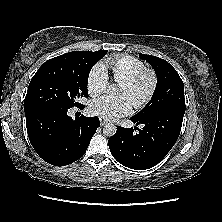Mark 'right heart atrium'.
Listing matches in <instances>:
<instances>
[{"label":"right heart atrium","mask_w":222,"mask_h":222,"mask_svg":"<svg viewBox=\"0 0 222 222\" xmlns=\"http://www.w3.org/2000/svg\"><path fill=\"white\" fill-rule=\"evenodd\" d=\"M108 86V75L105 68L95 65L88 74L87 91L90 95L96 96L106 90Z\"/></svg>","instance_id":"obj_1"}]
</instances>
